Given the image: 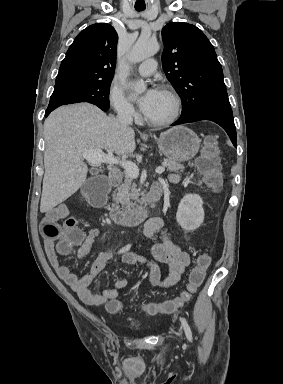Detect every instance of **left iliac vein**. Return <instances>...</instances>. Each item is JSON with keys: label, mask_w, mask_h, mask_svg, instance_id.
Returning <instances> with one entry per match:
<instances>
[{"label": "left iliac vein", "mask_w": 283, "mask_h": 384, "mask_svg": "<svg viewBox=\"0 0 283 384\" xmlns=\"http://www.w3.org/2000/svg\"><path fill=\"white\" fill-rule=\"evenodd\" d=\"M178 335L182 338V330L181 329L179 330Z\"/></svg>", "instance_id": "left-iliac-vein-1"}]
</instances>
